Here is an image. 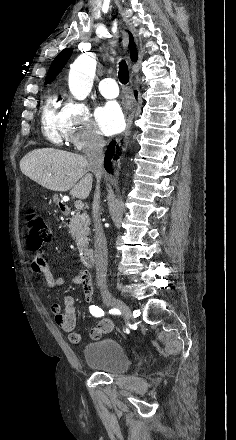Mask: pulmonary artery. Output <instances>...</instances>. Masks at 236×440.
<instances>
[{
	"label": "pulmonary artery",
	"mask_w": 236,
	"mask_h": 440,
	"mask_svg": "<svg viewBox=\"0 0 236 440\" xmlns=\"http://www.w3.org/2000/svg\"><path fill=\"white\" fill-rule=\"evenodd\" d=\"M99 91L106 98H115L118 96V86L113 78H103L99 83Z\"/></svg>",
	"instance_id": "1"
}]
</instances>
